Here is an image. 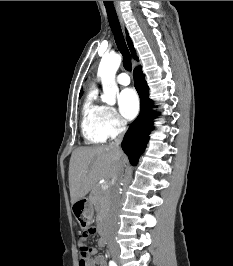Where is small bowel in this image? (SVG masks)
Segmentation results:
<instances>
[{"instance_id":"1","label":"small bowel","mask_w":233,"mask_h":266,"mask_svg":"<svg viewBox=\"0 0 233 266\" xmlns=\"http://www.w3.org/2000/svg\"><path fill=\"white\" fill-rule=\"evenodd\" d=\"M105 243L106 241L103 238L98 241L100 247H103ZM82 266H106V258L102 254H97L96 248H91V254L84 260Z\"/></svg>"}]
</instances>
